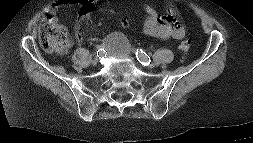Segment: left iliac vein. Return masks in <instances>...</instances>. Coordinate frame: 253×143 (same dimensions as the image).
<instances>
[{
	"mask_svg": "<svg viewBox=\"0 0 253 143\" xmlns=\"http://www.w3.org/2000/svg\"><path fill=\"white\" fill-rule=\"evenodd\" d=\"M148 67H149V68H153L154 65H153V64H149Z\"/></svg>",
	"mask_w": 253,
	"mask_h": 143,
	"instance_id": "obj_1",
	"label": "left iliac vein"
}]
</instances>
